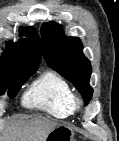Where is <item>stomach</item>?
Segmentation results:
<instances>
[{
	"instance_id": "stomach-1",
	"label": "stomach",
	"mask_w": 119,
	"mask_h": 141,
	"mask_svg": "<svg viewBox=\"0 0 119 141\" xmlns=\"http://www.w3.org/2000/svg\"><path fill=\"white\" fill-rule=\"evenodd\" d=\"M45 141H74V131L67 125H59L47 135Z\"/></svg>"
}]
</instances>
